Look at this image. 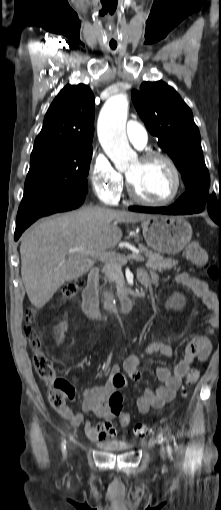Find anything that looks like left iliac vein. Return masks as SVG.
I'll list each match as a JSON object with an SVG mask.
<instances>
[{
	"label": "left iliac vein",
	"instance_id": "1",
	"mask_svg": "<svg viewBox=\"0 0 221 510\" xmlns=\"http://www.w3.org/2000/svg\"><path fill=\"white\" fill-rule=\"evenodd\" d=\"M161 455H162V457H164V450L161 451Z\"/></svg>",
	"mask_w": 221,
	"mask_h": 510
}]
</instances>
